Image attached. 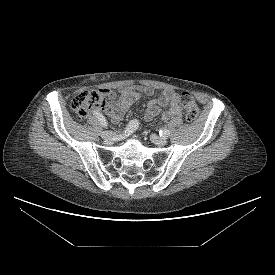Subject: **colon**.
<instances>
[{"label":"colon","instance_id":"obj_1","mask_svg":"<svg viewBox=\"0 0 275 275\" xmlns=\"http://www.w3.org/2000/svg\"><path fill=\"white\" fill-rule=\"evenodd\" d=\"M179 96L185 109L186 120L190 123L195 122L200 110L193 96L187 92H183ZM106 106L105 96L95 90L80 92L71 100V108L79 118L86 117L92 109L104 110Z\"/></svg>","mask_w":275,"mask_h":275}]
</instances>
